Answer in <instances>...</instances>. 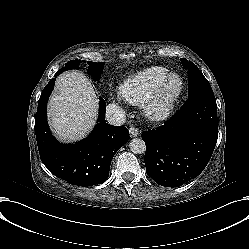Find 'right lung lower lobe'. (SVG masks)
<instances>
[{"mask_svg":"<svg viewBox=\"0 0 249 249\" xmlns=\"http://www.w3.org/2000/svg\"><path fill=\"white\" fill-rule=\"evenodd\" d=\"M60 70L54 77L60 74ZM55 78L43 89L35 117V134L41 161L55 176L78 186L102 184L109 176L115 153L129 140L124 126L105 122L106 102L100 96L99 119L90 135L75 144H60L52 136L46 107Z\"/></svg>","mask_w":249,"mask_h":249,"instance_id":"obj_1","label":"right lung lower lobe"}]
</instances>
